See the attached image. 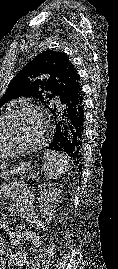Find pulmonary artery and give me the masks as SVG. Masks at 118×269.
Masks as SVG:
<instances>
[{"label":"pulmonary artery","instance_id":"1","mask_svg":"<svg viewBox=\"0 0 118 269\" xmlns=\"http://www.w3.org/2000/svg\"><path fill=\"white\" fill-rule=\"evenodd\" d=\"M56 103H59V100L58 99H56Z\"/></svg>","mask_w":118,"mask_h":269}]
</instances>
